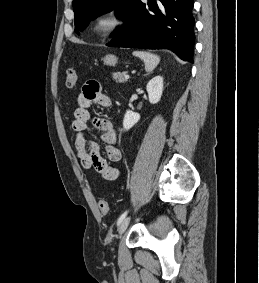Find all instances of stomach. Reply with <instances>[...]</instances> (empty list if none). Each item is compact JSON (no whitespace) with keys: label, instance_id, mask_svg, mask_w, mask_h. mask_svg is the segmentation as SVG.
I'll list each match as a JSON object with an SVG mask.
<instances>
[{"label":"stomach","instance_id":"1","mask_svg":"<svg viewBox=\"0 0 259 283\" xmlns=\"http://www.w3.org/2000/svg\"><path fill=\"white\" fill-rule=\"evenodd\" d=\"M103 60L106 65L113 66L117 63L118 58L115 55L109 54V55H106Z\"/></svg>","mask_w":259,"mask_h":283}]
</instances>
